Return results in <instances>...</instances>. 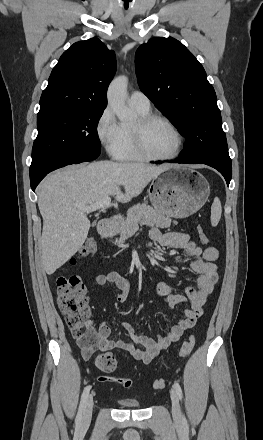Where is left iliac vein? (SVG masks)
Segmentation results:
<instances>
[{"label": "left iliac vein", "instance_id": "obj_1", "mask_svg": "<svg viewBox=\"0 0 263 440\" xmlns=\"http://www.w3.org/2000/svg\"><path fill=\"white\" fill-rule=\"evenodd\" d=\"M171 402L173 419L175 422L180 423L182 421L181 407L179 397L174 390L171 391Z\"/></svg>", "mask_w": 263, "mask_h": 440}]
</instances>
